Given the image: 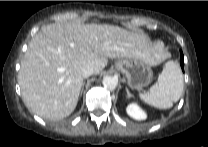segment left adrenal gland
Segmentation results:
<instances>
[{
    "instance_id": "a2214340",
    "label": "left adrenal gland",
    "mask_w": 208,
    "mask_h": 147,
    "mask_svg": "<svg viewBox=\"0 0 208 147\" xmlns=\"http://www.w3.org/2000/svg\"><path fill=\"white\" fill-rule=\"evenodd\" d=\"M127 97H133V95L130 93L129 89L126 87Z\"/></svg>"
}]
</instances>
